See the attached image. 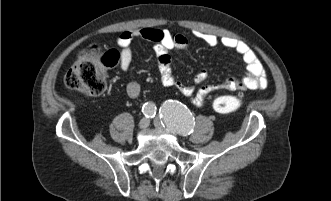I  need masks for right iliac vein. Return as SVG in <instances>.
<instances>
[{
    "label": "right iliac vein",
    "instance_id": "obj_1",
    "mask_svg": "<svg viewBox=\"0 0 331 201\" xmlns=\"http://www.w3.org/2000/svg\"><path fill=\"white\" fill-rule=\"evenodd\" d=\"M149 119L148 118H142L139 122V127L142 128V129H145L149 126Z\"/></svg>",
    "mask_w": 331,
    "mask_h": 201
}]
</instances>
